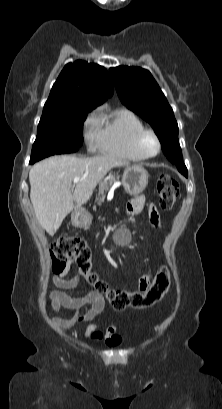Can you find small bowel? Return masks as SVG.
<instances>
[{
  "mask_svg": "<svg viewBox=\"0 0 222 409\" xmlns=\"http://www.w3.org/2000/svg\"><path fill=\"white\" fill-rule=\"evenodd\" d=\"M145 207L148 211V216L151 225L154 228L160 227V214L157 207L149 201L146 195H140L136 199L132 200L127 205V214H138L141 213ZM70 264L65 268L64 271L56 274L52 278L53 287L49 290V296L59 305L70 308V309H80L86 305H90L91 308L85 314H77L71 319H59L53 318V323L62 331H67L71 327L76 325L85 324L86 329L83 334L84 337L91 338L93 340L105 339L110 344H117L118 341L111 342L110 339L114 336L116 332L115 325H109L105 332H100L99 328L102 322H97L96 319L101 315L105 307V300L102 295L96 292H90L84 296H71L67 294L64 290H69L77 287L82 279V275L79 273L76 276L65 279L64 277L68 273ZM152 280L150 275H144L139 281V286L142 287L149 284Z\"/></svg>",
  "mask_w": 222,
  "mask_h": 409,
  "instance_id": "obj_1",
  "label": "small bowel"
}]
</instances>
